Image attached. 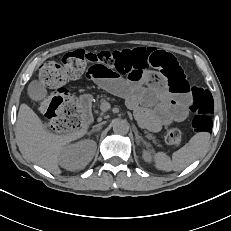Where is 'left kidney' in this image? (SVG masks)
Returning a JSON list of instances; mask_svg holds the SVG:
<instances>
[{"label":"left kidney","instance_id":"left-kidney-1","mask_svg":"<svg viewBox=\"0 0 231 231\" xmlns=\"http://www.w3.org/2000/svg\"><path fill=\"white\" fill-rule=\"evenodd\" d=\"M143 159H144L146 162H150V160H151V155H150V151H149V150H144V151H143Z\"/></svg>","mask_w":231,"mask_h":231}]
</instances>
